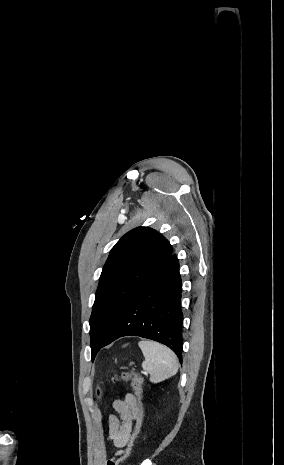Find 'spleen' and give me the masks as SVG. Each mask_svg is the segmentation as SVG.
<instances>
[{
    "label": "spleen",
    "mask_w": 284,
    "mask_h": 465,
    "mask_svg": "<svg viewBox=\"0 0 284 465\" xmlns=\"http://www.w3.org/2000/svg\"><path fill=\"white\" fill-rule=\"evenodd\" d=\"M138 345L145 357L142 369L149 373L151 383H161V381L176 375L178 361L171 349L160 345V343H155V341H149V339L139 341Z\"/></svg>",
    "instance_id": "spleen-1"
}]
</instances>
